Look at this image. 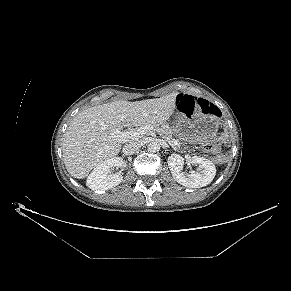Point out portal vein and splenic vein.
I'll return each instance as SVG.
<instances>
[{
	"mask_svg": "<svg viewBox=\"0 0 291 291\" xmlns=\"http://www.w3.org/2000/svg\"><path fill=\"white\" fill-rule=\"evenodd\" d=\"M124 117H121L123 119ZM153 127L151 126H141L137 130L131 131H121L120 129H116L111 133V138L117 140L119 142H129L133 140H138L144 136H146ZM172 143L175 145H179L177 140L173 139Z\"/></svg>",
	"mask_w": 291,
	"mask_h": 291,
	"instance_id": "obj_1",
	"label": "portal vein and splenic vein"
}]
</instances>
